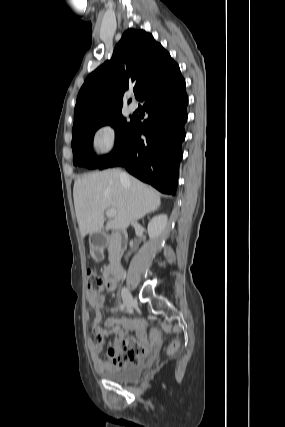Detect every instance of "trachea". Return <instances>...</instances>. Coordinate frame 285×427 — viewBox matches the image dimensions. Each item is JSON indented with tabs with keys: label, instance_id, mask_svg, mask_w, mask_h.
I'll use <instances>...</instances> for the list:
<instances>
[{
	"label": "trachea",
	"instance_id": "obj_1",
	"mask_svg": "<svg viewBox=\"0 0 285 427\" xmlns=\"http://www.w3.org/2000/svg\"><path fill=\"white\" fill-rule=\"evenodd\" d=\"M134 93H135V94L137 93V89H134Z\"/></svg>",
	"mask_w": 285,
	"mask_h": 427
}]
</instances>
